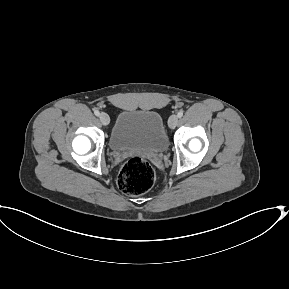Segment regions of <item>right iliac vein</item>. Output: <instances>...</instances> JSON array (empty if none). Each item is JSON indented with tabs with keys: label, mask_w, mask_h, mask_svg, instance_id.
Returning a JSON list of instances; mask_svg holds the SVG:
<instances>
[{
	"label": "right iliac vein",
	"mask_w": 289,
	"mask_h": 289,
	"mask_svg": "<svg viewBox=\"0 0 289 289\" xmlns=\"http://www.w3.org/2000/svg\"><path fill=\"white\" fill-rule=\"evenodd\" d=\"M99 118H100V121L103 125H108L109 122H110V118L108 116V114L102 112L100 115H99Z\"/></svg>",
	"instance_id": "obj_1"
}]
</instances>
